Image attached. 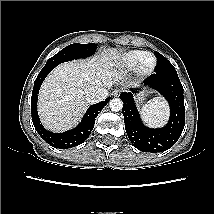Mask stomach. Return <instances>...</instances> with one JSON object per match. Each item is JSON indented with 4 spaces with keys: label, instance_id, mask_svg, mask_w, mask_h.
<instances>
[{
    "label": "stomach",
    "instance_id": "stomach-1",
    "mask_svg": "<svg viewBox=\"0 0 214 214\" xmlns=\"http://www.w3.org/2000/svg\"><path fill=\"white\" fill-rule=\"evenodd\" d=\"M138 99H139L140 101L144 100V95H141Z\"/></svg>",
    "mask_w": 214,
    "mask_h": 214
}]
</instances>
